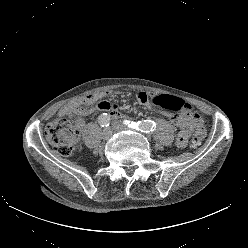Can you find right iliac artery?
<instances>
[{
    "label": "right iliac artery",
    "mask_w": 248,
    "mask_h": 248,
    "mask_svg": "<svg viewBox=\"0 0 248 248\" xmlns=\"http://www.w3.org/2000/svg\"><path fill=\"white\" fill-rule=\"evenodd\" d=\"M98 122H99L100 126L108 127L110 124V117L107 115V113H103L99 116Z\"/></svg>",
    "instance_id": "obj_1"
}]
</instances>
